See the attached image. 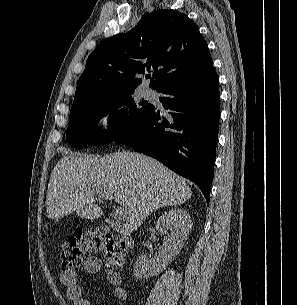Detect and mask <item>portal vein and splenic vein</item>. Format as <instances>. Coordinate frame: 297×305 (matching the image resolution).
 <instances>
[{"label": "portal vein and splenic vein", "mask_w": 297, "mask_h": 305, "mask_svg": "<svg viewBox=\"0 0 297 305\" xmlns=\"http://www.w3.org/2000/svg\"><path fill=\"white\" fill-rule=\"evenodd\" d=\"M98 197L102 198V199H105V200H110V201L113 200V196L111 194L107 193V192L106 193H99ZM115 216L119 219L123 218L125 216L124 208H122V207L116 208Z\"/></svg>", "instance_id": "portal-vein-and-splenic-vein-1"}]
</instances>
